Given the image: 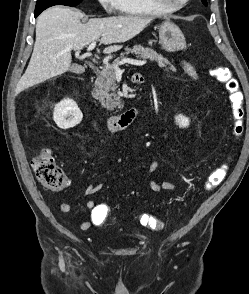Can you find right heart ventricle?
<instances>
[{
	"mask_svg": "<svg viewBox=\"0 0 249 294\" xmlns=\"http://www.w3.org/2000/svg\"><path fill=\"white\" fill-rule=\"evenodd\" d=\"M117 7L121 13L133 16H159L168 13L151 0H117Z\"/></svg>",
	"mask_w": 249,
	"mask_h": 294,
	"instance_id": "1",
	"label": "right heart ventricle"
}]
</instances>
